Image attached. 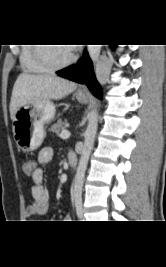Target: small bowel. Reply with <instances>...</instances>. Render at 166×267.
<instances>
[{
    "instance_id": "small-bowel-1",
    "label": "small bowel",
    "mask_w": 166,
    "mask_h": 267,
    "mask_svg": "<svg viewBox=\"0 0 166 267\" xmlns=\"http://www.w3.org/2000/svg\"><path fill=\"white\" fill-rule=\"evenodd\" d=\"M69 156H74L70 154ZM53 157V149L51 147H44L40 150L37 157V164H35L33 171L30 173L32 179L31 195L32 203L26 209V216L33 217L44 215L50 208V193L43 184V170L42 165L47 164ZM71 220V216L66 214L63 217L64 222Z\"/></svg>"
}]
</instances>
